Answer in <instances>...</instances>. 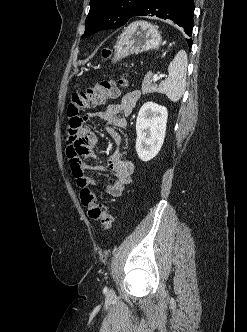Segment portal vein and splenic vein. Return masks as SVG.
<instances>
[{"mask_svg":"<svg viewBox=\"0 0 247 332\" xmlns=\"http://www.w3.org/2000/svg\"><path fill=\"white\" fill-rule=\"evenodd\" d=\"M162 77H164V75L155 74V75L153 76V81L156 82V81H158L159 79H161Z\"/></svg>","mask_w":247,"mask_h":332,"instance_id":"1","label":"portal vein and splenic vein"}]
</instances>
